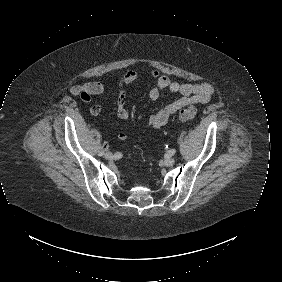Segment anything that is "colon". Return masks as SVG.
<instances>
[{
	"label": "colon",
	"instance_id": "5ec220e1",
	"mask_svg": "<svg viewBox=\"0 0 282 282\" xmlns=\"http://www.w3.org/2000/svg\"><path fill=\"white\" fill-rule=\"evenodd\" d=\"M197 113L196 108L191 105L186 108H183L179 112V118L183 121L192 119ZM127 158L131 161V156L127 153Z\"/></svg>",
	"mask_w": 282,
	"mask_h": 282
}]
</instances>
